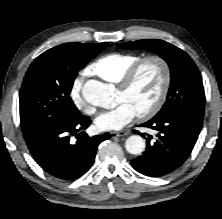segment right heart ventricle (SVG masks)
<instances>
[{
	"label": "right heart ventricle",
	"instance_id": "obj_1",
	"mask_svg": "<svg viewBox=\"0 0 222 219\" xmlns=\"http://www.w3.org/2000/svg\"><path fill=\"white\" fill-rule=\"evenodd\" d=\"M142 58L140 54L113 52L98 58L89 67L101 79L118 84L127 70Z\"/></svg>",
	"mask_w": 222,
	"mask_h": 219
}]
</instances>
